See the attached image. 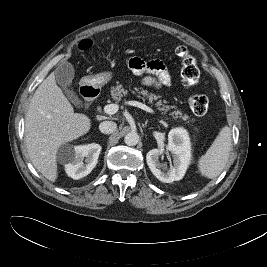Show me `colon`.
<instances>
[{
	"label": "colon",
	"instance_id": "obj_1",
	"mask_svg": "<svg viewBox=\"0 0 267 267\" xmlns=\"http://www.w3.org/2000/svg\"><path fill=\"white\" fill-rule=\"evenodd\" d=\"M93 45L89 39L80 42L78 48L81 51L88 50ZM181 60V80L186 88L194 87L199 80L200 72L196 59L189 53L187 48L178 47L176 50ZM190 109L195 115L202 116L207 113L209 108V100L205 95L195 94L188 98Z\"/></svg>",
	"mask_w": 267,
	"mask_h": 267
}]
</instances>
